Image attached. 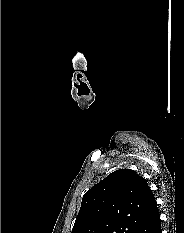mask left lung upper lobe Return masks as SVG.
<instances>
[{
	"mask_svg": "<svg viewBox=\"0 0 184 233\" xmlns=\"http://www.w3.org/2000/svg\"><path fill=\"white\" fill-rule=\"evenodd\" d=\"M153 199L143 177L116 170L85 193L71 233H137Z\"/></svg>",
	"mask_w": 184,
	"mask_h": 233,
	"instance_id": "obj_1",
	"label": "left lung upper lobe"
}]
</instances>
